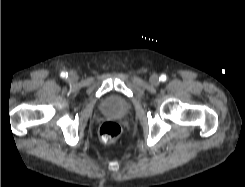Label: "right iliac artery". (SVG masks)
I'll list each match as a JSON object with an SVG mask.
<instances>
[{
	"label": "right iliac artery",
	"instance_id": "1",
	"mask_svg": "<svg viewBox=\"0 0 245 187\" xmlns=\"http://www.w3.org/2000/svg\"><path fill=\"white\" fill-rule=\"evenodd\" d=\"M61 77H63V78H65V77H67L68 76V73L67 72H61Z\"/></svg>",
	"mask_w": 245,
	"mask_h": 187
}]
</instances>
